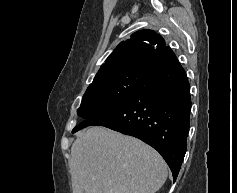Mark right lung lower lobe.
Segmentation results:
<instances>
[{"label": "right lung lower lobe", "mask_w": 237, "mask_h": 193, "mask_svg": "<svg viewBox=\"0 0 237 193\" xmlns=\"http://www.w3.org/2000/svg\"><path fill=\"white\" fill-rule=\"evenodd\" d=\"M190 109L189 82L171 51L154 62L126 101L84 120L73 132L100 125L139 138L161 154L175 181L186 152Z\"/></svg>", "instance_id": "obj_1"}]
</instances>
